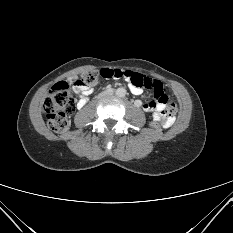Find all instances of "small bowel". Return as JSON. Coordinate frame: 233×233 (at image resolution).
I'll return each mask as SVG.
<instances>
[{"mask_svg":"<svg viewBox=\"0 0 233 233\" xmlns=\"http://www.w3.org/2000/svg\"><path fill=\"white\" fill-rule=\"evenodd\" d=\"M125 85L130 88L131 92L135 95H140L142 93V88L133 86L128 80L125 82ZM73 89L79 94L78 107H84L88 101V96L93 92V88L83 86L79 84V82H75ZM144 108L146 111L152 112L154 114V118L162 120L164 122V127H169L172 124L173 120L164 114L163 104H157L154 101H151L150 103L144 105Z\"/></svg>","mask_w":233,"mask_h":233,"instance_id":"1","label":"small bowel"}]
</instances>
